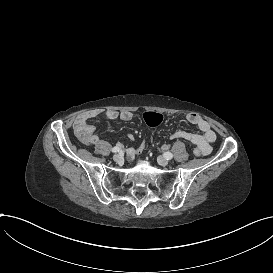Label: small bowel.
<instances>
[{"label": "small bowel", "instance_id": "c3829d8e", "mask_svg": "<svg viewBox=\"0 0 273 273\" xmlns=\"http://www.w3.org/2000/svg\"><path fill=\"white\" fill-rule=\"evenodd\" d=\"M99 116H104L108 120H121L124 122L131 121L133 119V113L128 110H105V111H88L84 114L80 120H77L73 124V130L76 133V138L80 142H88L95 151H100L104 147V142L100 139L97 131L91 126L95 122V118ZM186 120L195 125L200 133H193L186 130H176L170 134L171 139H184L192 143L196 150L200 152L201 155H208L212 151V144L216 140V134L212 129L210 123L206 121L203 117L198 114L189 113L186 115ZM129 140H134L133 134H128ZM137 156L135 149L129 154L128 159L134 160Z\"/></svg>", "mask_w": 273, "mask_h": 273}]
</instances>
